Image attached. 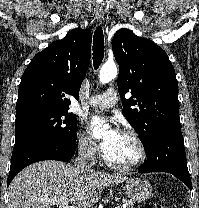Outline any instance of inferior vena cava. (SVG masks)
I'll list each match as a JSON object with an SVG mask.
<instances>
[{"label": "inferior vena cava", "mask_w": 199, "mask_h": 208, "mask_svg": "<svg viewBox=\"0 0 199 208\" xmlns=\"http://www.w3.org/2000/svg\"><path fill=\"white\" fill-rule=\"evenodd\" d=\"M89 152V147L86 148L83 146L79 149L78 156L74 161V164L78 169L88 172L93 171L92 164L90 163Z\"/></svg>", "instance_id": "obj_1"}]
</instances>
